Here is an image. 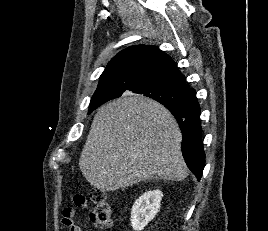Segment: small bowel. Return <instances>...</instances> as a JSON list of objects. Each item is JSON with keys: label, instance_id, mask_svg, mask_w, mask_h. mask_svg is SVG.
<instances>
[{"label": "small bowel", "instance_id": "obj_1", "mask_svg": "<svg viewBox=\"0 0 268 231\" xmlns=\"http://www.w3.org/2000/svg\"><path fill=\"white\" fill-rule=\"evenodd\" d=\"M80 205V203L78 204ZM76 213L73 208H65L62 213L61 222L63 225L69 227L70 231H84L76 221Z\"/></svg>", "mask_w": 268, "mask_h": 231}]
</instances>
